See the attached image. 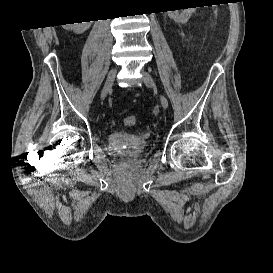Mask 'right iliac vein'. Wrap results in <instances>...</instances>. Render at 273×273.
<instances>
[{
  "label": "right iliac vein",
  "mask_w": 273,
  "mask_h": 273,
  "mask_svg": "<svg viewBox=\"0 0 273 273\" xmlns=\"http://www.w3.org/2000/svg\"><path fill=\"white\" fill-rule=\"evenodd\" d=\"M116 72H117L116 68H112L109 71L107 79L105 81V84H104L103 89H102L101 94H100L101 99H104L106 97L107 93L112 88L114 80H115Z\"/></svg>",
  "instance_id": "63e3f726"
}]
</instances>
